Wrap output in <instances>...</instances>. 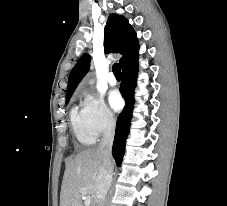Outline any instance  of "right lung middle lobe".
<instances>
[{
	"label": "right lung middle lobe",
	"instance_id": "right-lung-middle-lobe-1",
	"mask_svg": "<svg viewBox=\"0 0 227 206\" xmlns=\"http://www.w3.org/2000/svg\"><path fill=\"white\" fill-rule=\"evenodd\" d=\"M69 98H70V97H66V103L69 101Z\"/></svg>",
	"mask_w": 227,
	"mask_h": 206
}]
</instances>
